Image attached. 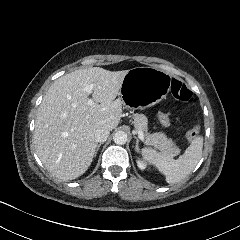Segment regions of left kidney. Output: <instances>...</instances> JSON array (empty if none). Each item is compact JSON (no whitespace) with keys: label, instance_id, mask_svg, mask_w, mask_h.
Here are the masks:
<instances>
[{"label":"left kidney","instance_id":"5707ae66","mask_svg":"<svg viewBox=\"0 0 240 240\" xmlns=\"http://www.w3.org/2000/svg\"><path fill=\"white\" fill-rule=\"evenodd\" d=\"M136 162H137V166L139 167V169H141V170L146 169L147 164L144 161L138 159Z\"/></svg>","mask_w":240,"mask_h":240}]
</instances>
